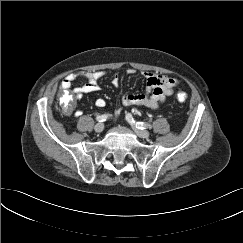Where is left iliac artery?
<instances>
[{"instance_id": "left-iliac-artery-1", "label": "left iliac artery", "mask_w": 243, "mask_h": 243, "mask_svg": "<svg viewBox=\"0 0 243 243\" xmlns=\"http://www.w3.org/2000/svg\"><path fill=\"white\" fill-rule=\"evenodd\" d=\"M126 119L129 123L135 124V126L139 129H145V128L151 129L152 128L151 124H148V123H145V122H136L130 113H128L126 115Z\"/></svg>"}]
</instances>
